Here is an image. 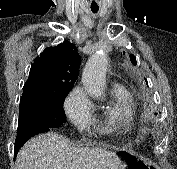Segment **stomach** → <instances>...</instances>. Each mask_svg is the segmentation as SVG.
Wrapping results in <instances>:
<instances>
[{"label":"stomach","mask_w":177,"mask_h":169,"mask_svg":"<svg viewBox=\"0 0 177 169\" xmlns=\"http://www.w3.org/2000/svg\"><path fill=\"white\" fill-rule=\"evenodd\" d=\"M118 155L126 165L124 169H146L147 167V165L134 154L119 153Z\"/></svg>","instance_id":"1"}]
</instances>
